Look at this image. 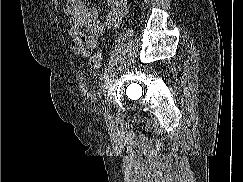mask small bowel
I'll use <instances>...</instances> for the list:
<instances>
[{
	"mask_svg": "<svg viewBox=\"0 0 243 182\" xmlns=\"http://www.w3.org/2000/svg\"><path fill=\"white\" fill-rule=\"evenodd\" d=\"M104 1L109 11L105 20H100L97 7L87 5L85 0H66L64 12L69 17L71 50L75 54L89 56L106 29L118 26L126 15L127 0Z\"/></svg>",
	"mask_w": 243,
	"mask_h": 182,
	"instance_id": "obj_1",
	"label": "small bowel"
}]
</instances>
